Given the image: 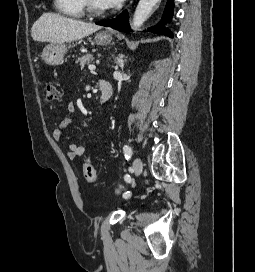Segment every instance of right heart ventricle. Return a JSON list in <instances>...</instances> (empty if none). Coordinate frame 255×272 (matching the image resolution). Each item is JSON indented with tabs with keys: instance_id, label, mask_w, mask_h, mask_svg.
<instances>
[{
	"instance_id": "1",
	"label": "right heart ventricle",
	"mask_w": 255,
	"mask_h": 272,
	"mask_svg": "<svg viewBox=\"0 0 255 272\" xmlns=\"http://www.w3.org/2000/svg\"><path fill=\"white\" fill-rule=\"evenodd\" d=\"M54 8L59 13L74 18L84 15L83 0H54Z\"/></svg>"
}]
</instances>
